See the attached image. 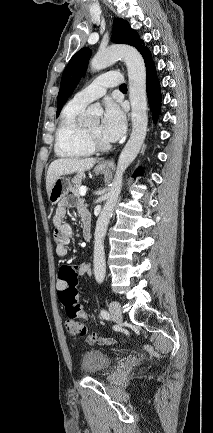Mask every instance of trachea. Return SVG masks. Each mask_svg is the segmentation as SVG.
I'll list each match as a JSON object with an SVG mask.
<instances>
[{
	"instance_id": "3493384b",
	"label": "trachea",
	"mask_w": 213,
	"mask_h": 433,
	"mask_svg": "<svg viewBox=\"0 0 213 433\" xmlns=\"http://www.w3.org/2000/svg\"><path fill=\"white\" fill-rule=\"evenodd\" d=\"M120 89H127V85H126V84H122V85L120 86Z\"/></svg>"
}]
</instances>
